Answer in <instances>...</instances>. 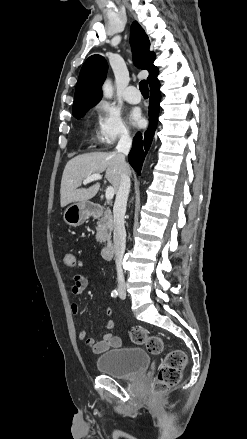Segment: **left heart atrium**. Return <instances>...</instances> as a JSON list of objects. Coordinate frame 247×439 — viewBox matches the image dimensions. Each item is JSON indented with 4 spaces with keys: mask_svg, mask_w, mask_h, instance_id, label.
<instances>
[{
    "mask_svg": "<svg viewBox=\"0 0 247 439\" xmlns=\"http://www.w3.org/2000/svg\"><path fill=\"white\" fill-rule=\"evenodd\" d=\"M130 120L134 125L140 126L143 123V119L141 117V114L138 110H133L130 113Z\"/></svg>",
    "mask_w": 247,
    "mask_h": 439,
    "instance_id": "left-heart-atrium-1",
    "label": "left heart atrium"
}]
</instances>
